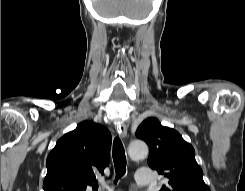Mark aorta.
<instances>
[{"label":"aorta","mask_w":245,"mask_h":191,"mask_svg":"<svg viewBox=\"0 0 245 191\" xmlns=\"http://www.w3.org/2000/svg\"><path fill=\"white\" fill-rule=\"evenodd\" d=\"M128 154L132 160L142 159L147 156L148 147L143 141H132L128 146Z\"/></svg>","instance_id":"obj_1"}]
</instances>
